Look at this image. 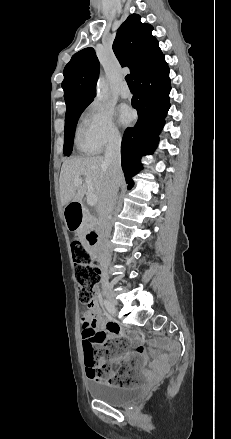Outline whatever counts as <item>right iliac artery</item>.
Instances as JSON below:
<instances>
[{
    "label": "right iliac artery",
    "mask_w": 231,
    "mask_h": 439,
    "mask_svg": "<svg viewBox=\"0 0 231 439\" xmlns=\"http://www.w3.org/2000/svg\"><path fill=\"white\" fill-rule=\"evenodd\" d=\"M104 305H105L106 309L108 310V312H110V313H113V312H114V311H113V308H112V306H111V304H110L109 301L104 300Z\"/></svg>",
    "instance_id": "1"
}]
</instances>
